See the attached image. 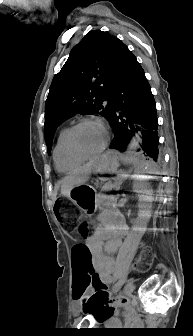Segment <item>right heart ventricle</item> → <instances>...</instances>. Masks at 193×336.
Wrapping results in <instances>:
<instances>
[{
    "label": "right heart ventricle",
    "mask_w": 193,
    "mask_h": 336,
    "mask_svg": "<svg viewBox=\"0 0 193 336\" xmlns=\"http://www.w3.org/2000/svg\"><path fill=\"white\" fill-rule=\"evenodd\" d=\"M69 128H62L57 136L55 147L53 150V159L56 169L61 173H70L75 171L85 159L76 158L67 150L66 136Z\"/></svg>",
    "instance_id": "right-heart-ventricle-1"
}]
</instances>
